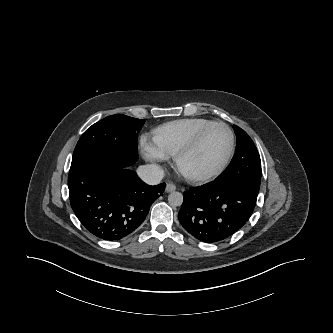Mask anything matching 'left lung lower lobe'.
Segmentation results:
<instances>
[{
  "label": "left lung lower lobe",
  "instance_id": "obj_1",
  "mask_svg": "<svg viewBox=\"0 0 333 333\" xmlns=\"http://www.w3.org/2000/svg\"><path fill=\"white\" fill-rule=\"evenodd\" d=\"M178 219L196 239L215 243L233 235L248 221L258 193L238 183L210 182L183 193Z\"/></svg>",
  "mask_w": 333,
  "mask_h": 333
}]
</instances>
